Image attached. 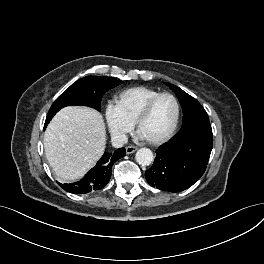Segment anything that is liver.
<instances>
[{"mask_svg": "<svg viewBox=\"0 0 264 264\" xmlns=\"http://www.w3.org/2000/svg\"><path fill=\"white\" fill-rule=\"evenodd\" d=\"M105 145L103 117L89 107L61 109L44 134L46 158L62 182L82 178L103 155Z\"/></svg>", "mask_w": 264, "mask_h": 264, "instance_id": "6515ba94", "label": "liver"}]
</instances>
